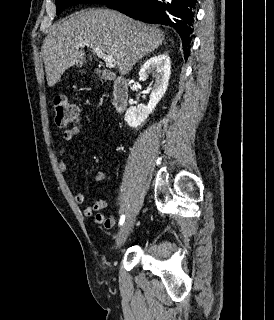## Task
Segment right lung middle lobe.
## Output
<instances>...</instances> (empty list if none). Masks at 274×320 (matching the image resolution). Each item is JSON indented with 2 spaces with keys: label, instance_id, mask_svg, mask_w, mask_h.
Listing matches in <instances>:
<instances>
[{
  "label": "right lung middle lobe",
  "instance_id": "obj_1",
  "mask_svg": "<svg viewBox=\"0 0 274 320\" xmlns=\"http://www.w3.org/2000/svg\"><path fill=\"white\" fill-rule=\"evenodd\" d=\"M111 0H56L57 14H60L64 9L81 4V3H91V4H106Z\"/></svg>",
  "mask_w": 274,
  "mask_h": 320
}]
</instances>
